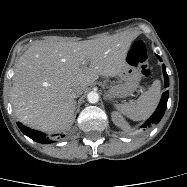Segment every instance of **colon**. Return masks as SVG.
<instances>
[{
	"label": "colon",
	"mask_w": 187,
	"mask_h": 187,
	"mask_svg": "<svg viewBox=\"0 0 187 187\" xmlns=\"http://www.w3.org/2000/svg\"><path fill=\"white\" fill-rule=\"evenodd\" d=\"M127 61L132 66L140 68V73L143 77H148L150 75V58L147 52V48L142 41H136L131 46Z\"/></svg>",
	"instance_id": "colon-1"
}]
</instances>
